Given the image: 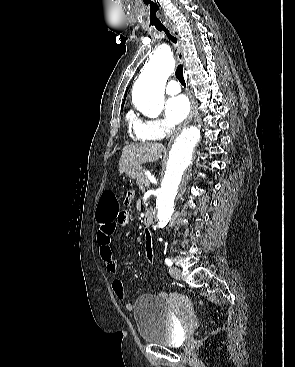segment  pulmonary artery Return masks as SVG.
I'll list each match as a JSON object with an SVG mask.
<instances>
[{
	"label": "pulmonary artery",
	"instance_id": "obj_1",
	"mask_svg": "<svg viewBox=\"0 0 295 367\" xmlns=\"http://www.w3.org/2000/svg\"><path fill=\"white\" fill-rule=\"evenodd\" d=\"M181 91V87L176 80H170L166 85V93L169 95L178 94Z\"/></svg>",
	"mask_w": 295,
	"mask_h": 367
}]
</instances>
